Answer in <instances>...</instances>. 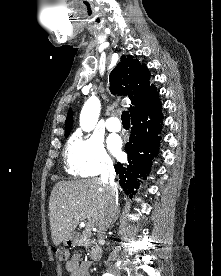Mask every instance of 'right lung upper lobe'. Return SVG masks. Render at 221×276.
I'll return each instance as SVG.
<instances>
[{"label":"right lung upper lobe","instance_id":"1","mask_svg":"<svg viewBox=\"0 0 221 276\" xmlns=\"http://www.w3.org/2000/svg\"><path fill=\"white\" fill-rule=\"evenodd\" d=\"M149 79L150 73L146 66L132 56H122L110 73V91L129 97L132 104L129 108L131 117L160 101L156 87L150 84ZM72 125L73 112L70 109L65 123V137L70 133Z\"/></svg>","mask_w":221,"mask_h":276}]
</instances>
